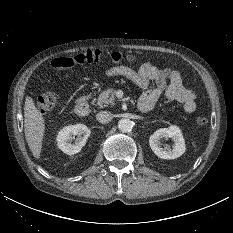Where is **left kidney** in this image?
Masks as SVG:
<instances>
[{"instance_id": "left-kidney-1", "label": "left kidney", "mask_w": 233, "mask_h": 233, "mask_svg": "<svg viewBox=\"0 0 233 233\" xmlns=\"http://www.w3.org/2000/svg\"><path fill=\"white\" fill-rule=\"evenodd\" d=\"M171 138L174 142L173 149L162 147L161 140ZM149 145L152 151L161 159H175L185 153V141L179 127L172 125L168 128H161L154 132L149 138Z\"/></svg>"}]
</instances>
